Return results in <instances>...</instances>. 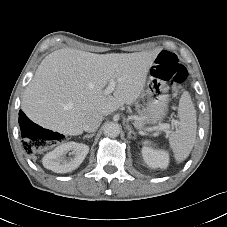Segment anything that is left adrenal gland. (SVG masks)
I'll return each mask as SVG.
<instances>
[{
    "label": "left adrenal gland",
    "mask_w": 227,
    "mask_h": 227,
    "mask_svg": "<svg viewBox=\"0 0 227 227\" xmlns=\"http://www.w3.org/2000/svg\"><path fill=\"white\" fill-rule=\"evenodd\" d=\"M126 129L129 131L128 138H132V139L136 140V133L131 129V127L129 125H126Z\"/></svg>",
    "instance_id": "left-adrenal-gland-1"
}]
</instances>
